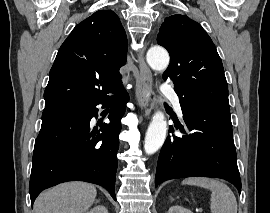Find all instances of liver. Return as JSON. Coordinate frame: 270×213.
Returning <instances> with one entry per match:
<instances>
[{"label": "liver", "instance_id": "6515ba94", "mask_svg": "<svg viewBox=\"0 0 270 213\" xmlns=\"http://www.w3.org/2000/svg\"><path fill=\"white\" fill-rule=\"evenodd\" d=\"M96 188L84 182L60 184L38 196L33 213H85L96 198Z\"/></svg>", "mask_w": 270, "mask_h": 213}]
</instances>
